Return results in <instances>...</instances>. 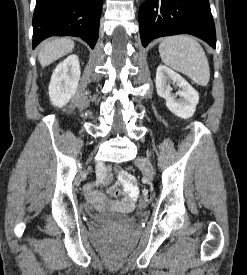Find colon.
I'll list each match as a JSON object with an SVG mask.
<instances>
[{
  "instance_id": "obj_1",
  "label": "colon",
  "mask_w": 247,
  "mask_h": 275,
  "mask_svg": "<svg viewBox=\"0 0 247 275\" xmlns=\"http://www.w3.org/2000/svg\"><path fill=\"white\" fill-rule=\"evenodd\" d=\"M150 201V193L147 189H143L139 199V206L145 207Z\"/></svg>"
}]
</instances>
